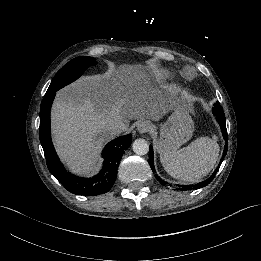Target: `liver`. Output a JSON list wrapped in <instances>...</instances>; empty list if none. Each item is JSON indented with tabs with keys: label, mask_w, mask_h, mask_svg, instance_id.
<instances>
[{
	"label": "liver",
	"mask_w": 261,
	"mask_h": 261,
	"mask_svg": "<svg viewBox=\"0 0 261 261\" xmlns=\"http://www.w3.org/2000/svg\"><path fill=\"white\" fill-rule=\"evenodd\" d=\"M143 71L123 67L103 76L83 77L58 92L52 109L56 146L77 172L96 171L101 146L114 135L108 125L116 119L160 121L172 109L169 95L161 94Z\"/></svg>",
	"instance_id": "6515ba94"
}]
</instances>
